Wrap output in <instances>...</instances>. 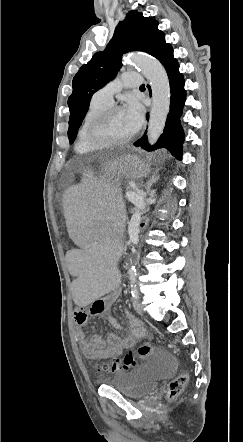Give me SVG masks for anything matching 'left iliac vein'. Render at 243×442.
<instances>
[{
  "instance_id": "left-iliac-vein-1",
  "label": "left iliac vein",
  "mask_w": 243,
  "mask_h": 442,
  "mask_svg": "<svg viewBox=\"0 0 243 442\" xmlns=\"http://www.w3.org/2000/svg\"><path fill=\"white\" fill-rule=\"evenodd\" d=\"M133 308L137 314H142V307L137 299L133 301Z\"/></svg>"
}]
</instances>
